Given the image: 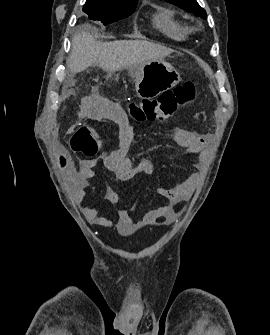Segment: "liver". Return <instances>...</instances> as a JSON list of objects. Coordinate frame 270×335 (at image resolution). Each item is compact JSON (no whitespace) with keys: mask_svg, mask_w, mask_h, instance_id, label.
Wrapping results in <instances>:
<instances>
[{"mask_svg":"<svg viewBox=\"0 0 270 335\" xmlns=\"http://www.w3.org/2000/svg\"><path fill=\"white\" fill-rule=\"evenodd\" d=\"M72 50L67 60V68L72 74L83 72L92 64H98L105 72H118L129 68L135 76L141 66L165 58L174 50L146 40H115L96 42L91 32H79L72 40Z\"/></svg>","mask_w":270,"mask_h":335,"instance_id":"6515ba94","label":"liver"}]
</instances>
